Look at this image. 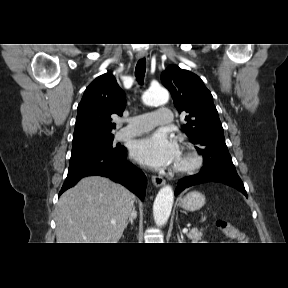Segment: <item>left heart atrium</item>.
Segmentation results:
<instances>
[{"instance_id": "obj_1", "label": "left heart atrium", "mask_w": 288, "mask_h": 288, "mask_svg": "<svg viewBox=\"0 0 288 288\" xmlns=\"http://www.w3.org/2000/svg\"><path fill=\"white\" fill-rule=\"evenodd\" d=\"M131 156L139 163L164 168L179 159V147L167 132L159 130L134 141Z\"/></svg>"}]
</instances>
